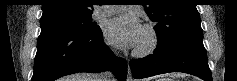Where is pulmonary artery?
I'll return each mask as SVG.
<instances>
[{"mask_svg":"<svg viewBox=\"0 0 237 81\" xmlns=\"http://www.w3.org/2000/svg\"><path fill=\"white\" fill-rule=\"evenodd\" d=\"M118 7H111L109 9L103 10L100 14L101 15H109L117 11Z\"/></svg>","mask_w":237,"mask_h":81,"instance_id":"obj_1","label":"pulmonary artery"}]
</instances>
